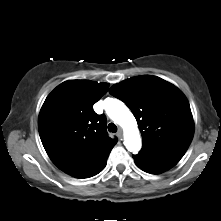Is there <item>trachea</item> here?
Returning a JSON list of instances; mask_svg holds the SVG:
<instances>
[{"mask_svg": "<svg viewBox=\"0 0 221 221\" xmlns=\"http://www.w3.org/2000/svg\"><path fill=\"white\" fill-rule=\"evenodd\" d=\"M108 130L109 132L115 133L117 132V126L114 123H109Z\"/></svg>", "mask_w": 221, "mask_h": 221, "instance_id": "3493384b", "label": "trachea"}]
</instances>
